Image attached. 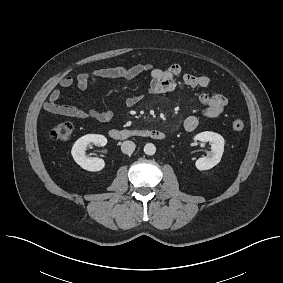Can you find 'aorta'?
Segmentation results:
<instances>
[{
    "mask_svg": "<svg viewBox=\"0 0 283 283\" xmlns=\"http://www.w3.org/2000/svg\"><path fill=\"white\" fill-rule=\"evenodd\" d=\"M144 152L146 155H154L155 152H156V147L154 144L152 143H147L145 146H144Z\"/></svg>",
    "mask_w": 283,
    "mask_h": 283,
    "instance_id": "obj_1",
    "label": "aorta"
}]
</instances>
